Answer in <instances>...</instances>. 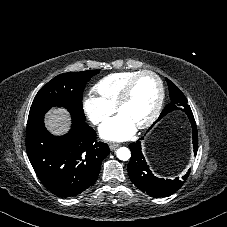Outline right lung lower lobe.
<instances>
[{"label": "right lung lower lobe", "instance_id": "1", "mask_svg": "<svg viewBox=\"0 0 227 227\" xmlns=\"http://www.w3.org/2000/svg\"><path fill=\"white\" fill-rule=\"evenodd\" d=\"M26 150L39 180L59 197L76 196L92 186L110 153L107 144L96 141V132L85 120L73 116L64 136L52 135L44 117L28 123Z\"/></svg>", "mask_w": 227, "mask_h": 227}]
</instances>
